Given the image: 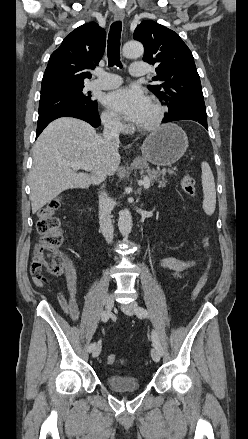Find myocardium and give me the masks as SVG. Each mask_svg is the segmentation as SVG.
Wrapping results in <instances>:
<instances>
[{
	"label": "myocardium",
	"mask_w": 248,
	"mask_h": 439,
	"mask_svg": "<svg viewBox=\"0 0 248 439\" xmlns=\"http://www.w3.org/2000/svg\"><path fill=\"white\" fill-rule=\"evenodd\" d=\"M149 103L155 109V115L149 122L145 124H137L135 129L140 132H149L157 129L163 122L165 117V107L156 99L152 98L149 100Z\"/></svg>",
	"instance_id": "1"
}]
</instances>
